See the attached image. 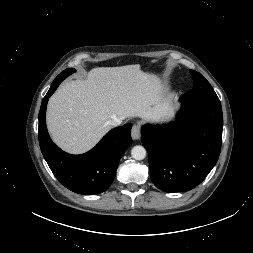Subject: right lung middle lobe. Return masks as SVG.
Listing matches in <instances>:
<instances>
[{"instance_id": "dd1d6c3e", "label": "right lung middle lobe", "mask_w": 253, "mask_h": 253, "mask_svg": "<svg viewBox=\"0 0 253 253\" xmlns=\"http://www.w3.org/2000/svg\"><path fill=\"white\" fill-rule=\"evenodd\" d=\"M73 72H75V69L69 68L64 70L62 73H60L55 80L53 81V83H57L58 80L61 82L62 80H64L67 76H69L70 74H72ZM52 83V84H53Z\"/></svg>"}]
</instances>
